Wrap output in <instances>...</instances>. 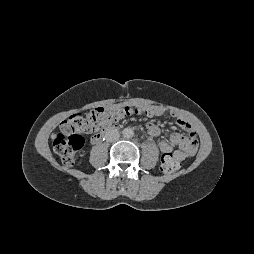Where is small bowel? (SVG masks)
Instances as JSON below:
<instances>
[{"mask_svg": "<svg viewBox=\"0 0 254 254\" xmlns=\"http://www.w3.org/2000/svg\"><path fill=\"white\" fill-rule=\"evenodd\" d=\"M149 109L151 112L147 115L153 116L157 114H161L162 112L158 109L152 107H143L141 109L142 112ZM177 124L180 128L185 130L188 134L186 136L181 135L179 133H173L171 135V143L165 140H159L158 147L163 155H171L177 161H183L192 157L197 150V136L195 129L191 122L186 118L179 117L177 119ZM146 129L150 136L157 138L160 135V129L158 126L152 122H148L146 124ZM173 145H178L180 147L179 150H174Z\"/></svg>", "mask_w": 254, "mask_h": 254, "instance_id": "obj_1", "label": "small bowel"}]
</instances>
